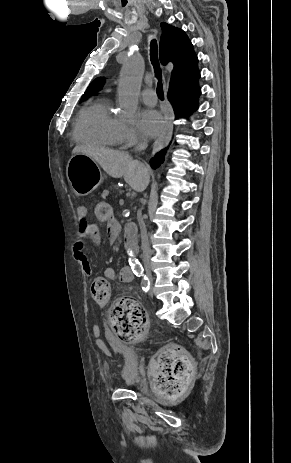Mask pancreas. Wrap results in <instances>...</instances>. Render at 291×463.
<instances>
[{"label":"pancreas","instance_id":"obj_1","mask_svg":"<svg viewBox=\"0 0 291 463\" xmlns=\"http://www.w3.org/2000/svg\"><path fill=\"white\" fill-rule=\"evenodd\" d=\"M109 191L113 193L115 196H120L122 194L121 188L117 186L116 184H111L109 186Z\"/></svg>","mask_w":291,"mask_h":463}]
</instances>
